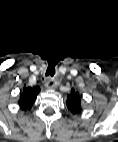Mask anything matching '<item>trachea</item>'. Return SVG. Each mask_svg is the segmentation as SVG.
I'll return each mask as SVG.
<instances>
[{
  "instance_id": "obj_1",
  "label": "trachea",
  "mask_w": 118,
  "mask_h": 142,
  "mask_svg": "<svg viewBox=\"0 0 118 142\" xmlns=\"http://www.w3.org/2000/svg\"><path fill=\"white\" fill-rule=\"evenodd\" d=\"M45 75L46 77H53L55 75V65L53 63H49Z\"/></svg>"
}]
</instances>
